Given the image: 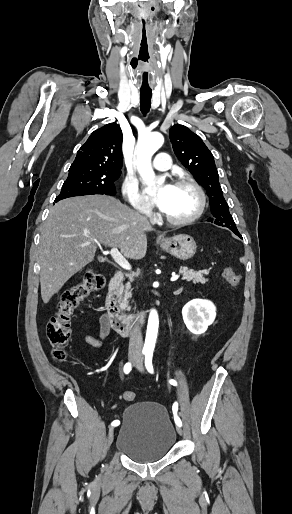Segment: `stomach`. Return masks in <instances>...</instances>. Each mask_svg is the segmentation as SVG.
I'll use <instances>...</instances> for the list:
<instances>
[{"instance_id": "1", "label": "stomach", "mask_w": 292, "mask_h": 514, "mask_svg": "<svg viewBox=\"0 0 292 514\" xmlns=\"http://www.w3.org/2000/svg\"><path fill=\"white\" fill-rule=\"evenodd\" d=\"M160 246L164 252H168L178 260H189L194 256L197 248L193 238L187 234L165 238V240H161Z\"/></svg>"}]
</instances>
